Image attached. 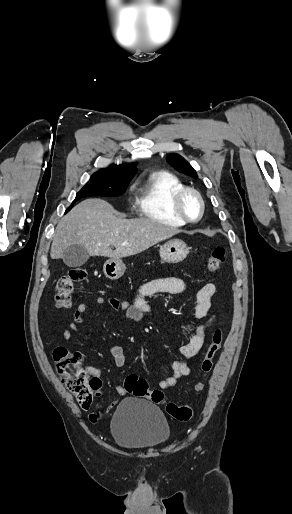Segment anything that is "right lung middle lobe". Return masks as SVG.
I'll return each instance as SVG.
<instances>
[{
	"mask_svg": "<svg viewBox=\"0 0 292 514\" xmlns=\"http://www.w3.org/2000/svg\"><path fill=\"white\" fill-rule=\"evenodd\" d=\"M130 180L119 179H100L93 178L86 183V185L77 193L72 205L68 208L69 211L73 204L84 197L88 196H107L116 197L124 194Z\"/></svg>",
	"mask_w": 292,
	"mask_h": 514,
	"instance_id": "dd1d6c3e",
	"label": "right lung middle lobe"
}]
</instances>
